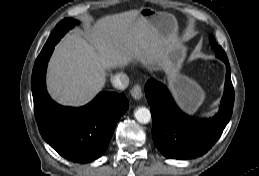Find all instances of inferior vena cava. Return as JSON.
Masks as SVG:
<instances>
[{
    "instance_id": "obj_1",
    "label": "inferior vena cava",
    "mask_w": 259,
    "mask_h": 176,
    "mask_svg": "<svg viewBox=\"0 0 259 176\" xmlns=\"http://www.w3.org/2000/svg\"><path fill=\"white\" fill-rule=\"evenodd\" d=\"M111 83L115 88L123 90L129 85V77L125 73H117L111 77Z\"/></svg>"
}]
</instances>
